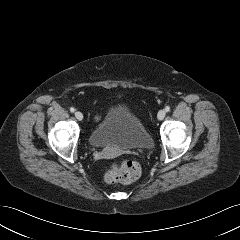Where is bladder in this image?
Masks as SVG:
<instances>
[{
    "label": "bladder",
    "mask_w": 240,
    "mask_h": 240,
    "mask_svg": "<svg viewBox=\"0 0 240 240\" xmlns=\"http://www.w3.org/2000/svg\"><path fill=\"white\" fill-rule=\"evenodd\" d=\"M89 143L96 148L148 149L153 140L143 122L127 106H113L91 131Z\"/></svg>",
    "instance_id": "bladder-1"
}]
</instances>
